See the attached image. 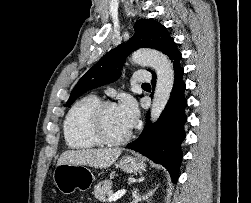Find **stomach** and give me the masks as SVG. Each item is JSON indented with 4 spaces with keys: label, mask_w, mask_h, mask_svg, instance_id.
Returning <instances> with one entry per match:
<instances>
[{
    "label": "stomach",
    "mask_w": 251,
    "mask_h": 203,
    "mask_svg": "<svg viewBox=\"0 0 251 203\" xmlns=\"http://www.w3.org/2000/svg\"><path fill=\"white\" fill-rule=\"evenodd\" d=\"M116 165L126 173H136L145 167L143 162L132 156L121 157ZM53 180L59 191L67 195L73 193L76 189L80 191L90 189L95 178L86 166L65 163L55 168Z\"/></svg>",
    "instance_id": "stomach-1"
}]
</instances>
